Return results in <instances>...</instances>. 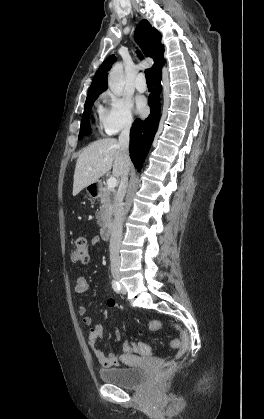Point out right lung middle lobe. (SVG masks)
<instances>
[{"label":"right lung middle lobe","instance_id":"obj_1","mask_svg":"<svg viewBox=\"0 0 264 419\" xmlns=\"http://www.w3.org/2000/svg\"><path fill=\"white\" fill-rule=\"evenodd\" d=\"M97 96H94L90 99H87L86 102H85V110H84L83 117H82V123H81V128H80V133H79V138L78 139H81L84 136L91 133L90 123H89L90 111H91L92 105H93L94 101L96 100Z\"/></svg>","mask_w":264,"mask_h":419}]
</instances>
